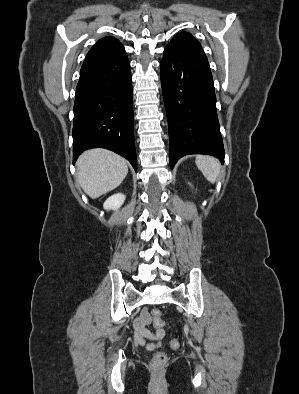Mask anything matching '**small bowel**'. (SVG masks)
I'll list each match as a JSON object with an SVG mask.
<instances>
[{"label":"small bowel","mask_w":299,"mask_h":394,"mask_svg":"<svg viewBox=\"0 0 299 394\" xmlns=\"http://www.w3.org/2000/svg\"><path fill=\"white\" fill-rule=\"evenodd\" d=\"M152 323V318L148 310L143 309L140 316L135 321V339L137 343L145 345L148 349L152 350L157 347L165 336V329L156 324L155 331L147 328Z\"/></svg>","instance_id":"1"}]
</instances>
